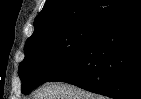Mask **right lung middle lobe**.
Wrapping results in <instances>:
<instances>
[{"instance_id": "1", "label": "right lung middle lobe", "mask_w": 141, "mask_h": 99, "mask_svg": "<svg viewBox=\"0 0 141 99\" xmlns=\"http://www.w3.org/2000/svg\"><path fill=\"white\" fill-rule=\"evenodd\" d=\"M99 23L79 22L28 40L18 69L22 93H29L65 67L85 47Z\"/></svg>"}]
</instances>
